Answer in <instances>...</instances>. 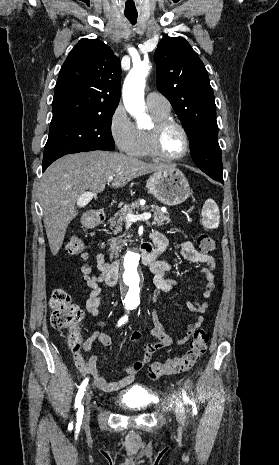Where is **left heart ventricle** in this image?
<instances>
[{"label":"left heart ventricle","mask_w":279,"mask_h":465,"mask_svg":"<svg viewBox=\"0 0 279 465\" xmlns=\"http://www.w3.org/2000/svg\"><path fill=\"white\" fill-rule=\"evenodd\" d=\"M159 146L166 155H176L183 149V137L176 126L167 127L160 136Z\"/></svg>","instance_id":"obj_1"}]
</instances>
